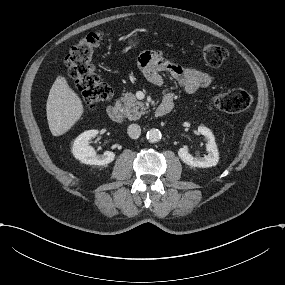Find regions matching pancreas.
<instances>
[{
  "label": "pancreas",
  "mask_w": 285,
  "mask_h": 285,
  "mask_svg": "<svg viewBox=\"0 0 285 285\" xmlns=\"http://www.w3.org/2000/svg\"><path fill=\"white\" fill-rule=\"evenodd\" d=\"M120 101L122 102V113L130 121H135L141 118V115L145 109V104L141 101H138L132 92L126 93L125 96L120 99Z\"/></svg>",
  "instance_id": "1"
}]
</instances>
